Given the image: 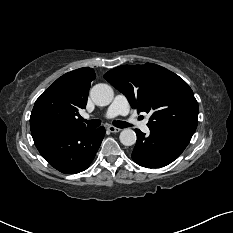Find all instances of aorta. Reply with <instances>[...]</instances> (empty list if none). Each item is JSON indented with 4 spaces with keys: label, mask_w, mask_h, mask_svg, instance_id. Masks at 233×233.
<instances>
[{
    "label": "aorta",
    "mask_w": 233,
    "mask_h": 233,
    "mask_svg": "<svg viewBox=\"0 0 233 233\" xmlns=\"http://www.w3.org/2000/svg\"><path fill=\"white\" fill-rule=\"evenodd\" d=\"M93 102L98 106L109 105L114 97L113 89L108 84H96L90 91ZM120 142L125 146H132L136 143V133L130 128L124 129L119 136Z\"/></svg>",
    "instance_id": "aorta-1"
}]
</instances>
